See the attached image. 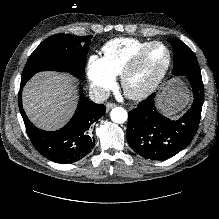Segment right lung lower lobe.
<instances>
[{
	"label": "right lung lower lobe",
	"mask_w": 219,
	"mask_h": 219,
	"mask_svg": "<svg viewBox=\"0 0 219 219\" xmlns=\"http://www.w3.org/2000/svg\"><path fill=\"white\" fill-rule=\"evenodd\" d=\"M19 91V109L27 133L35 148L46 158L57 163H71L83 158L94 147V142L87 135L90 126L105 115V105L96 104L81 92L79 104L69 123L54 132L36 128L27 118L21 102Z\"/></svg>",
	"instance_id": "1"
}]
</instances>
